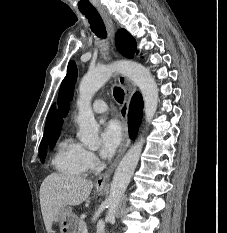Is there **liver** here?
Wrapping results in <instances>:
<instances>
[{"label":"liver","instance_id":"obj_1","mask_svg":"<svg viewBox=\"0 0 227 233\" xmlns=\"http://www.w3.org/2000/svg\"><path fill=\"white\" fill-rule=\"evenodd\" d=\"M93 182L81 177L58 173L48 175L41 184L39 197L44 224L51 233L54 218L67 206L83 203L90 195Z\"/></svg>","mask_w":227,"mask_h":233}]
</instances>
